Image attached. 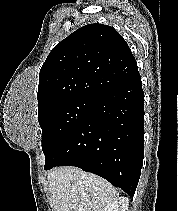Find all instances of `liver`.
I'll use <instances>...</instances> for the list:
<instances>
[{"instance_id":"liver-1","label":"liver","mask_w":178,"mask_h":211,"mask_svg":"<svg viewBox=\"0 0 178 211\" xmlns=\"http://www.w3.org/2000/svg\"><path fill=\"white\" fill-rule=\"evenodd\" d=\"M54 211H102L119 196L105 179L77 167H58L47 175Z\"/></svg>"}]
</instances>
